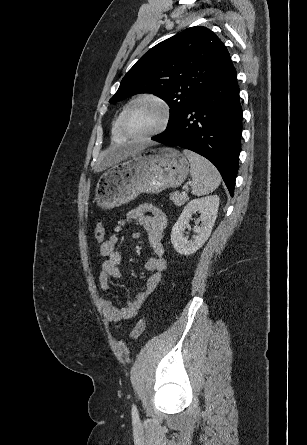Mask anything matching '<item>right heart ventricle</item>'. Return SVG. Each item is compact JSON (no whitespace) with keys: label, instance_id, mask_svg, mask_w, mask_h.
<instances>
[{"label":"right heart ventricle","instance_id":"obj_1","mask_svg":"<svg viewBox=\"0 0 307 445\" xmlns=\"http://www.w3.org/2000/svg\"><path fill=\"white\" fill-rule=\"evenodd\" d=\"M112 138L115 144H117V140H127L122 126V116H119L112 126Z\"/></svg>","mask_w":307,"mask_h":445}]
</instances>
